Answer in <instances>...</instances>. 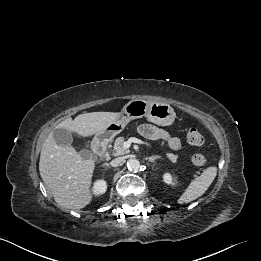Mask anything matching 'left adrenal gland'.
I'll list each match as a JSON object with an SVG mask.
<instances>
[{
	"mask_svg": "<svg viewBox=\"0 0 261 261\" xmlns=\"http://www.w3.org/2000/svg\"><path fill=\"white\" fill-rule=\"evenodd\" d=\"M156 159H160V156L156 155V156H151V157L148 158V160L150 162H155Z\"/></svg>",
	"mask_w": 261,
	"mask_h": 261,
	"instance_id": "a2214340",
	"label": "left adrenal gland"
}]
</instances>
